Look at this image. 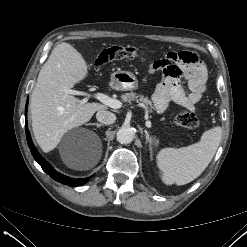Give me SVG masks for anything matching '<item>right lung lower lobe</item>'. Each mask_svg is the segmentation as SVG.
<instances>
[{
	"mask_svg": "<svg viewBox=\"0 0 247 247\" xmlns=\"http://www.w3.org/2000/svg\"><path fill=\"white\" fill-rule=\"evenodd\" d=\"M28 104V100L26 105ZM27 113V106L25 109V115ZM25 130H26V137H27V142H28V146L31 150V153L35 159L36 162H38L40 164V166L42 167V169L49 175L51 176L54 180L65 184V185H69V186H80V185H84L87 181H89V179L91 177H87V178H69L59 172H57L35 149L31 137H30V133L27 127V120L25 122Z\"/></svg>",
	"mask_w": 247,
	"mask_h": 247,
	"instance_id": "right-lung-lower-lobe-1",
	"label": "right lung lower lobe"
}]
</instances>
